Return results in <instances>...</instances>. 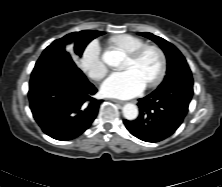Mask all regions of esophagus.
I'll use <instances>...</instances> for the list:
<instances>
[{"mask_svg": "<svg viewBox=\"0 0 222 187\" xmlns=\"http://www.w3.org/2000/svg\"><path fill=\"white\" fill-rule=\"evenodd\" d=\"M110 101H112V102H115V103H118V104H124L125 102H123V101H120V100H117V99H109Z\"/></svg>", "mask_w": 222, "mask_h": 187, "instance_id": "obj_1", "label": "esophagus"}]
</instances>
